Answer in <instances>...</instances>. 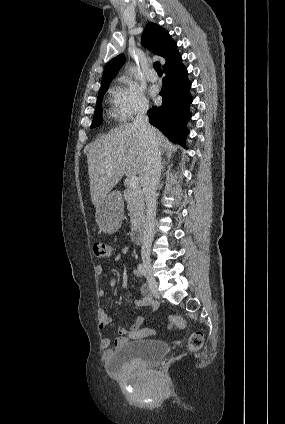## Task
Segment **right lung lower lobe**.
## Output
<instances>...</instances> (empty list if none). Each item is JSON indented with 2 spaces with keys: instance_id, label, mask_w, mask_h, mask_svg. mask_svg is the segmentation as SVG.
<instances>
[{
  "instance_id": "1",
  "label": "right lung lower lobe",
  "mask_w": 285,
  "mask_h": 424,
  "mask_svg": "<svg viewBox=\"0 0 285 424\" xmlns=\"http://www.w3.org/2000/svg\"><path fill=\"white\" fill-rule=\"evenodd\" d=\"M163 72L165 77L160 91L162 105L152 107L148 111V117L150 123L169 140L185 145L189 134L187 121L191 118V82L187 78V69L182 64V59L164 68Z\"/></svg>"
}]
</instances>
